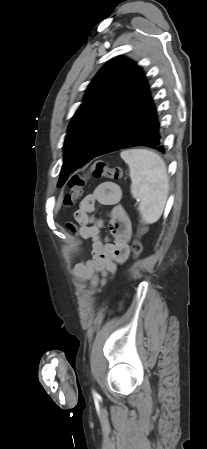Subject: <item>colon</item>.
<instances>
[{
	"label": "colon",
	"mask_w": 207,
	"mask_h": 449,
	"mask_svg": "<svg viewBox=\"0 0 207 449\" xmlns=\"http://www.w3.org/2000/svg\"><path fill=\"white\" fill-rule=\"evenodd\" d=\"M89 177L93 178H108L115 181L123 180V171L119 167L112 168L105 161L99 160L94 162L87 171L73 175L68 186L70 192L65 194L63 197V204L65 207H72L75 202L81 197L83 193V188ZM146 228L141 227L137 236L132 242V254L135 259H137L142 253V242L141 236L144 234Z\"/></svg>",
	"instance_id": "1"
}]
</instances>
